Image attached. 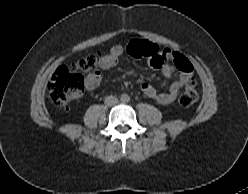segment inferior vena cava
Returning a JSON list of instances; mask_svg holds the SVG:
<instances>
[{
  "mask_svg": "<svg viewBox=\"0 0 248 194\" xmlns=\"http://www.w3.org/2000/svg\"><path fill=\"white\" fill-rule=\"evenodd\" d=\"M118 103V98H116L115 96H107L105 98V104L107 106H114Z\"/></svg>",
  "mask_w": 248,
  "mask_h": 194,
  "instance_id": "obj_1",
  "label": "inferior vena cava"
}]
</instances>
